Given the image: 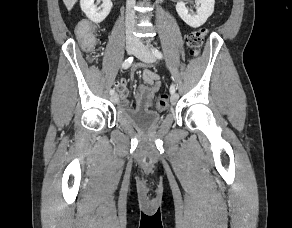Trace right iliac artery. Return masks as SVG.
I'll return each mask as SVG.
<instances>
[{"mask_svg":"<svg viewBox=\"0 0 292 228\" xmlns=\"http://www.w3.org/2000/svg\"><path fill=\"white\" fill-rule=\"evenodd\" d=\"M133 63V57H129L127 58L126 60L123 61L122 63V68L123 69H127L131 66V64ZM114 89H111L110 90V94L113 95L114 94Z\"/></svg>","mask_w":292,"mask_h":228,"instance_id":"82829eb1","label":"right iliac artery"}]
</instances>
